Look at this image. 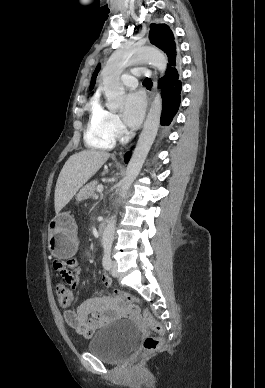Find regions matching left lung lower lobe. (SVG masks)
Listing matches in <instances>:
<instances>
[{
	"instance_id": "1",
	"label": "left lung lower lobe",
	"mask_w": 265,
	"mask_h": 388,
	"mask_svg": "<svg viewBox=\"0 0 265 388\" xmlns=\"http://www.w3.org/2000/svg\"><path fill=\"white\" fill-rule=\"evenodd\" d=\"M162 113L161 125L168 126L173 121L181 103V70L180 65L170 67L162 78Z\"/></svg>"
}]
</instances>
